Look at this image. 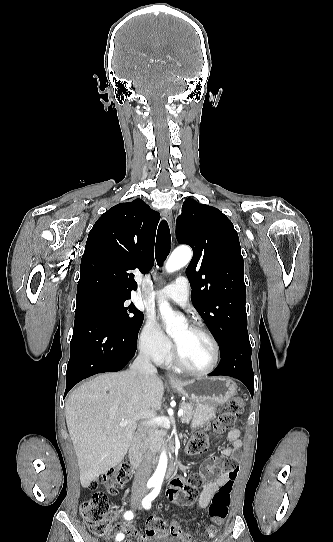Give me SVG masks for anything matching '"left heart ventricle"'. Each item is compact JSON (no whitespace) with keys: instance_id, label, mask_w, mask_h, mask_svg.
Wrapping results in <instances>:
<instances>
[{"instance_id":"left-heart-ventricle-1","label":"left heart ventricle","mask_w":333,"mask_h":542,"mask_svg":"<svg viewBox=\"0 0 333 542\" xmlns=\"http://www.w3.org/2000/svg\"><path fill=\"white\" fill-rule=\"evenodd\" d=\"M176 352L189 367L202 370L209 367L214 358L211 342L188 326L170 335Z\"/></svg>"}]
</instances>
